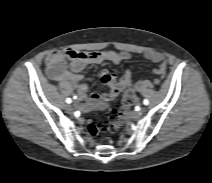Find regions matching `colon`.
Masks as SVG:
<instances>
[{
    "mask_svg": "<svg viewBox=\"0 0 212 183\" xmlns=\"http://www.w3.org/2000/svg\"><path fill=\"white\" fill-rule=\"evenodd\" d=\"M135 101V94L133 89L129 88L124 93L120 103L116 106L115 110L109 121L103 123H95L89 126L91 135H97L105 132H115L124 122L128 109Z\"/></svg>",
    "mask_w": 212,
    "mask_h": 183,
    "instance_id": "1",
    "label": "colon"
}]
</instances>
